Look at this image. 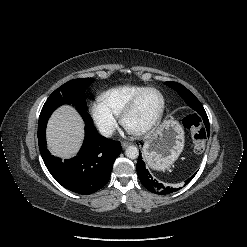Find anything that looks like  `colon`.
Instances as JSON below:
<instances>
[{
  "label": "colon",
  "instance_id": "obj_1",
  "mask_svg": "<svg viewBox=\"0 0 247 247\" xmlns=\"http://www.w3.org/2000/svg\"><path fill=\"white\" fill-rule=\"evenodd\" d=\"M183 124L190 131L194 150L198 153L205 149L206 132L202 128L201 118L197 114H188L183 118Z\"/></svg>",
  "mask_w": 247,
  "mask_h": 247
}]
</instances>
